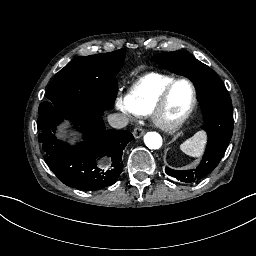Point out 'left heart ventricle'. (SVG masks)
Instances as JSON below:
<instances>
[{
	"mask_svg": "<svg viewBox=\"0 0 256 256\" xmlns=\"http://www.w3.org/2000/svg\"><path fill=\"white\" fill-rule=\"evenodd\" d=\"M191 101L192 93L189 85L180 82L174 87L164 107L153 110L144 102L142 111L143 113H151L163 123V127H168L173 118L181 116L190 107Z\"/></svg>",
	"mask_w": 256,
	"mask_h": 256,
	"instance_id": "b2bd125f",
	"label": "left heart ventricle"
}]
</instances>
